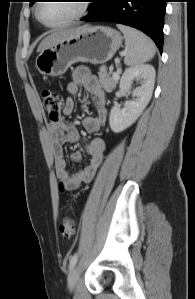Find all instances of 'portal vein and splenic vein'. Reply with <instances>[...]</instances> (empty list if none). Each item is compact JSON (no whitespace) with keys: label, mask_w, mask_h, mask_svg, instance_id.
Wrapping results in <instances>:
<instances>
[{"label":"portal vein and splenic vein","mask_w":195,"mask_h":299,"mask_svg":"<svg viewBox=\"0 0 195 299\" xmlns=\"http://www.w3.org/2000/svg\"><path fill=\"white\" fill-rule=\"evenodd\" d=\"M119 74H120V71L118 70L117 72L113 73V77L114 78H119Z\"/></svg>","instance_id":"1"}]
</instances>
